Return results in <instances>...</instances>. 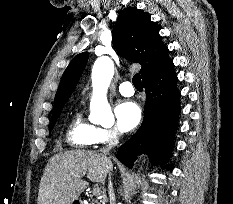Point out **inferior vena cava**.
Returning a JSON list of instances; mask_svg holds the SVG:
<instances>
[{
  "instance_id": "obj_1",
  "label": "inferior vena cava",
  "mask_w": 233,
  "mask_h": 204,
  "mask_svg": "<svg viewBox=\"0 0 233 204\" xmlns=\"http://www.w3.org/2000/svg\"><path fill=\"white\" fill-rule=\"evenodd\" d=\"M119 137H120V134L115 132L112 139L108 143V145L106 147L102 148L100 150V152H102V154L104 156H106L109 153V151L112 149V147H114L115 145H117L119 143ZM108 189H109V196H110V204H115V195H114V190H113V186H112V182H111L110 177H109Z\"/></svg>"
}]
</instances>
